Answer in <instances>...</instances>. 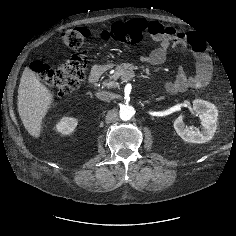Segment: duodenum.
<instances>
[{
	"label": "duodenum",
	"instance_id": "duodenum-1",
	"mask_svg": "<svg viewBox=\"0 0 236 236\" xmlns=\"http://www.w3.org/2000/svg\"><path fill=\"white\" fill-rule=\"evenodd\" d=\"M107 65L103 63L95 64L88 77V82L90 84H95L99 81L103 73L106 71Z\"/></svg>",
	"mask_w": 236,
	"mask_h": 236
}]
</instances>
